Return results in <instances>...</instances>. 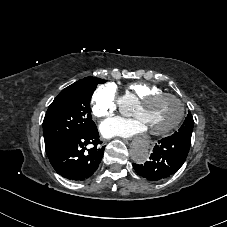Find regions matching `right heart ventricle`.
Wrapping results in <instances>:
<instances>
[{
  "instance_id": "1",
  "label": "right heart ventricle",
  "mask_w": 227,
  "mask_h": 227,
  "mask_svg": "<svg viewBox=\"0 0 227 227\" xmlns=\"http://www.w3.org/2000/svg\"><path fill=\"white\" fill-rule=\"evenodd\" d=\"M127 89L128 95H134L137 97V99H140L141 97L148 94L163 91L159 86L147 83L145 81H134L132 83H129L127 85Z\"/></svg>"
}]
</instances>
